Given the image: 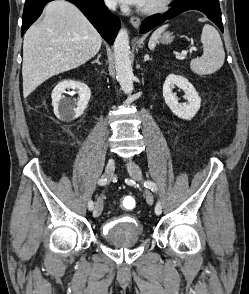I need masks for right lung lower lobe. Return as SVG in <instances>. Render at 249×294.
<instances>
[{"instance_id": "right-lung-lower-lobe-1", "label": "right lung lower lobe", "mask_w": 249, "mask_h": 294, "mask_svg": "<svg viewBox=\"0 0 249 294\" xmlns=\"http://www.w3.org/2000/svg\"><path fill=\"white\" fill-rule=\"evenodd\" d=\"M50 1L52 0H26L22 17V36L26 30L38 19L44 6ZM67 1L75 4L97 29L100 35L108 43L113 44L114 38L120 27V19L113 15L106 8L103 0Z\"/></svg>"}]
</instances>
